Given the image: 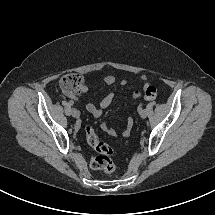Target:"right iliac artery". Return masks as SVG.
Masks as SVG:
<instances>
[{
	"label": "right iliac artery",
	"instance_id": "obj_1",
	"mask_svg": "<svg viewBox=\"0 0 215 215\" xmlns=\"http://www.w3.org/2000/svg\"><path fill=\"white\" fill-rule=\"evenodd\" d=\"M69 105H70V106H72V105H73V102H72V101H70V102H69Z\"/></svg>",
	"mask_w": 215,
	"mask_h": 215
}]
</instances>
